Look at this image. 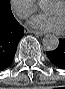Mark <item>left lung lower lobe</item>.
Wrapping results in <instances>:
<instances>
[{
  "mask_svg": "<svg viewBox=\"0 0 65 89\" xmlns=\"http://www.w3.org/2000/svg\"><path fill=\"white\" fill-rule=\"evenodd\" d=\"M49 60L59 68L65 69V38L59 39V46L54 51L46 52Z\"/></svg>",
  "mask_w": 65,
  "mask_h": 89,
  "instance_id": "0a47b994",
  "label": "left lung lower lobe"
}]
</instances>
